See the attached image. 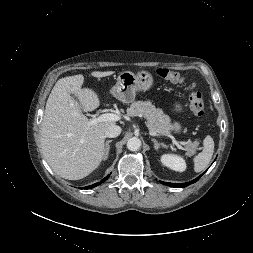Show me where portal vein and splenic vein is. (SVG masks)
<instances>
[{
  "label": "portal vein and splenic vein",
  "mask_w": 253,
  "mask_h": 253,
  "mask_svg": "<svg viewBox=\"0 0 253 253\" xmlns=\"http://www.w3.org/2000/svg\"><path fill=\"white\" fill-rule=\"evenodd\" d=\"M120 120V116L117 114H113V113H104L101 114L98 118H94L89 122V125H94L97 124L99 122H116Z\"/></svg>",
  "instance_id": "obj_1"
}]
</instances>
